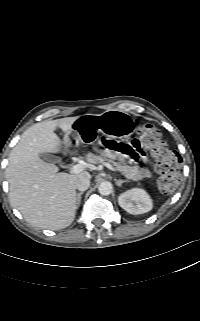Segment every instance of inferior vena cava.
Masks as SVG:
<instances>
[{"instance_id": "602c4592", "label": "inferior vena cava", "mask_w": 200, "mask_h": 321, "mask_svg": "<svg viewBox=\"0 0 200 321\" xmlns=\"http://www.w3.org/2000/svg\"><path fill=\"white\" fill-rule=\"evenodd\" d=\"M90 186V179L88 177L82 176L76 180L75 187L80 191H85Z\"/></svg>"}]
</instances>
